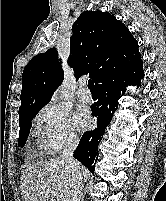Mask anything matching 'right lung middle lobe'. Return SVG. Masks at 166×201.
Listing matches in <instances>:
<instances>
[{
    "label": "right lung middle lobe",
    "instance_id": "obj_1",
    "mask_svg": "<svg viewBox=\"0 0 166 201\" xmlns=\"http://www.w3.org/2000/svg\"><path fill=\"white\" fill-rule=\"evenodd\" d=\"M37 112L38 111H34L19 118L20 131H19L18 146L23 147L25 145L30 132V125H31L30 121L37 114Z\"/></svg>",
    "mask_w": 166,
    "mask_h": 201
}]
</instances>
